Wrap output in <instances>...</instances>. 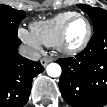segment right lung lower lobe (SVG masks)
Wrapping results in <instances>:
<instances>
[{"label":"right lung lower lobe","instance_id":"1","mask_svg":"<svg viewBox=\"0 0 107 107\" xmlns=\"http://www.w3.org/2000/svg\"><path fill=\"white\" fill-rule=\"evenodd\" d=\"M21 41L0 37V107H23L30 96L32 80L44 68L41 63L17 54Z\"/></svg>","mask_w":107,"mask_h":107}]
</instances>
